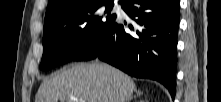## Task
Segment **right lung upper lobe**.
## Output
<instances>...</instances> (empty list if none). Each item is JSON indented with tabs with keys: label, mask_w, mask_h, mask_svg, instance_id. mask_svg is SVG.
<instances>
[{
	"label": "right lung upper lobe",
	"mask_w": 221,
	"mask_h": 102,
	"mask_svg": "<svg viewBox=\"0 0 221 102\" xmlns=\"http://www.w3.org/2000/svg\"><path fill=\"white\" fill-rule=\"evenodd\" d=\"M76 1H92V0H49L48 7L46 10L45 21L52 18L58 12L63 10L64 8L71 6L72 3ZM122 1V0H120Z\"/></svg>",
	"instance_id": "right-lung-upper-lobe-1"
}]
</instances>
